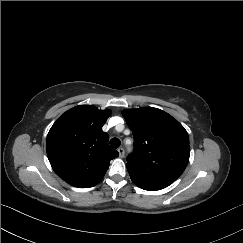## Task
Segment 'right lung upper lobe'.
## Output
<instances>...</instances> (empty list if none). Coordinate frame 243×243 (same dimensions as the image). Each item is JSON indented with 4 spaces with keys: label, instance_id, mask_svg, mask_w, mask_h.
Returning <instances> with one entry per match:
<instances>
[{
    "label": "right lung upper lobe",
    "instance_id": "1",
    "mask_svg": "<svg viewBox=\"0 0 243 243\" xmlns=\"http://www.w3.org/2000/svg\"><path fill=\"white\" fill-rule=\"evenodd\" d=\"M111 114L92 105H79L62 114L47 136V155L54 171L67 183L92 187L104 177L118 152L108 145L102 126Z\"/></svg>",
    "mask_w": 243,
    "mask_h": 243
}]
</instances>
